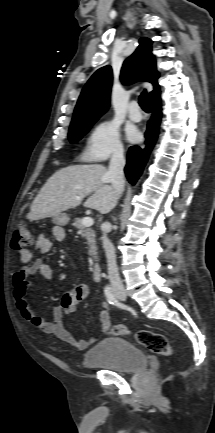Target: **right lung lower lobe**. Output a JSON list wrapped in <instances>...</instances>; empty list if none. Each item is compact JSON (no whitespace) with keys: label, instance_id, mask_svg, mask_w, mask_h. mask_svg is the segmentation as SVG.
<instances>
[{"label":"right lung lower lobe","instance_id":"1","mask_svg":"<svg viewBox=\"0 0 215 433\" xmlns=\"http://www.w3.org/2000/svg\"><path fill=\"white\" fill-rule=\"evenodd\" d=\"M152 109V117L148 122L145 133L146 145L145 149H140L137 146L130 147L127 155V164L125 174L128 181L134 185L141 175L143 168L148 160L149 153L154 146L159 134V125L161 121V101L160 94L150 99Z\"/></svg>","mask_w":215,"mask_h":433}]
</instances>
